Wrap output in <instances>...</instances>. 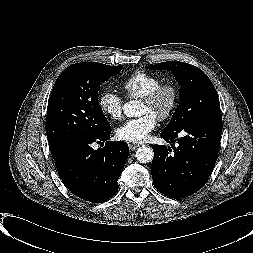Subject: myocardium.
I'll return each instance as SVG.
<instances>
[{
    "label": "myocardium",
    "instance_id": "f54148a6",
    "mask_svg": "<svg viewBox=\"0 0 253 253\" xmlns=\"http://www.w3.org/2000/svg\"><path fill=\"white\" fill-rule=\"evenodd\" d=\"M164 94H168L170 100L166 109L157 116L156 119L158 121L167 120L176 110L180 100V91L178 86L171 82L161 83L146 96L142 97L143 102L151 105L155 104Z\"/></svg>",
    "mask_w": 253,
    "mask_h": 253
}]
</instances>
